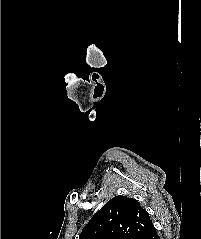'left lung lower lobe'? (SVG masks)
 <instances>
[{"instance_id":"1","label":"left lung lower lobe","mask_w":201,"mask_h":239,"mask_svg":"<svg viewBox=\"0 0 201 239\" xmlns=\"http://www.w3.org/2000/svg\"><path fill=\"white\" fill-rule=\"evenodd\" d=\"M141 239H159L157 231L153 226L152 222L147 230V232L141 237Z\"/></svg>"}]
</instances>
